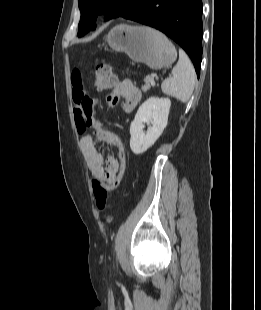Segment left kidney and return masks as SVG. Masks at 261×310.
I'll list each match as a JSON object with an SVG mask.
<instances>
[{
  "instance_id": "obj_1",
  "label": "left kidney",
  "mask_w": 261,
  "mask_h": 310,
  "mask_svg": "<svg viewBox=\"0 0 261 310\" xmlns=\"http://www.w3.org/2000/svg\"><path fill=\"white\" fill-rule=\"evenodd\" d=\"M170 106L168 98L151 97L139 107L130 126V148L134 154L145 152L160 137L167 125ZM145 123L149 125L146 133Z\"/></svg>"
}]
</instances>
